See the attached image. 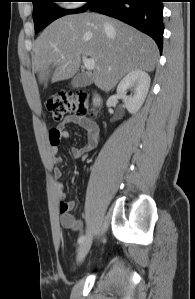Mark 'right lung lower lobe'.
I'll return each instance as SVG.
<instances>
[{"mask_svg":"<svg viewBox=\"0 0 195 299\" xmlns=\"http://www.w3.org/2000/svg\"><path fill=\"white\" fill-rule=\"evenodd\" d=\"M163 0H93L87 9L119 19L152 37L162 50Z\"/></svg>","mask_w":195,"mask_h":299,"instance_id":"1","label":"right lung lower lobe"}]
</instances>
